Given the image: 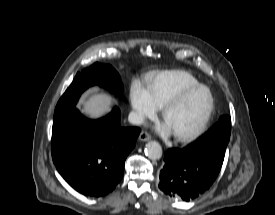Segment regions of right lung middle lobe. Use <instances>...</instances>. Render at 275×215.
Here are the masks:
<instances>
[{
    "label": "right lung middle lobe",
    "instance_id": "obj_1",
    "mask_svg": "<svg viewBox=\"0 0 275 215\" xmlns=\"http://www.w3.org/2000/svg\"><path fill=\"white\" fill-rule=\"evenodd\" d=\"M96 84L114 93H118V90L122 91V83L116 70L110 65L94 63L81 73L76 74L73 82L58 101L55 112L74 107L81 93Z\"/></svg>",
    "mask_w": 275,
    "mask_h": 215
}]
</instances>
